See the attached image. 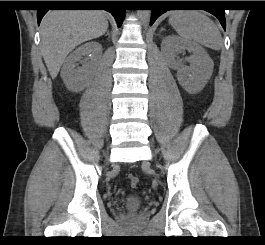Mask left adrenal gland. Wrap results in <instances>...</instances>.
I'll list each match as a JSON object with an SVG mask.
<instances>
[{
    "mask_svg": "<svg viewBox=\"0 0 265 245\" xmlns=\"http://www.w3.org/2000/svg\"><path fill=\"white\" fill-rule=\"evenodd\" d=\"M161 31H164V28H161Z\"/></svg>",
    "mask_w": 265,
    "mask_h": 245,
    "instance_id": "1",
    "label": "left adrenal gland"
}]
</instances>
